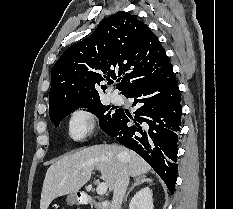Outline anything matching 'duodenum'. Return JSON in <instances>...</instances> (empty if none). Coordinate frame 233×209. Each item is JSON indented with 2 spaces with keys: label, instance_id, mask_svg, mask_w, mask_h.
Segmentation results:
<instances>
[{
  "label": "duodenum",
  "instance_id": "obj_1",
  "mask_svg": "<svg viewBox=\"0 0 233 209\" xmlns=\"http://www.w3.org/2000/svg\"><path fill=\"white\" fill-rule=\"evenodd\" d=\"M78 200H79L80 204L96 205L98 207V209H110V207H111V204L109 201L97 202L88 194L80 195Z\"/></svg>",
  "mask_w": 233,
  "mask_h": 209
}]
</instances>
